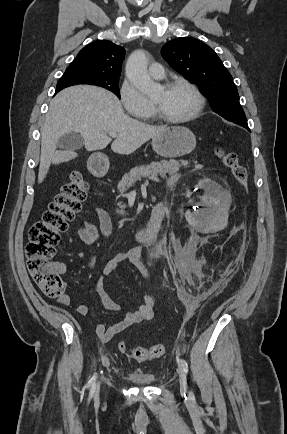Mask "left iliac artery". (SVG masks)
Returning a JSON list of instances; mask_svg holds the SVG:
<instances>
[{"label": "left iliac artery", "mask_w": 287, "mask_h": 434, "mask_svg": "<svg viewBox=\"0 0 287 434\" xmlns=\"http://www.w3.org/2000/svg\"><path fill=\"white\" fill-rule=\"evenodd\" d=\"M180 367L183 369V371L185 372V374H188V364L184 359H180Z\"/></svg>", "instance_id": "left-iliac-artery-1"}]
</instances>
